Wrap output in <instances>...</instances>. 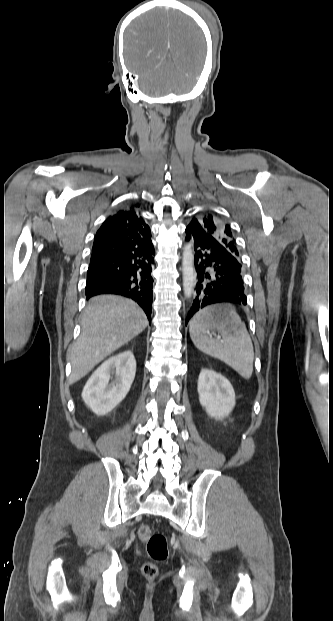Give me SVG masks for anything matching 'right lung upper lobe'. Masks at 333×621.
Listing matches in <instances>:
<instances>
[{
    "label": "right lung upper lobe",
    "instance_id": "obj_1",
    "mask_svg": "<svg viewBox=\"0 0 333 621\" xmlns=\"http://www.w3.org/2000/svg\"><path fill=\"white\" fill-rule=\"evenodd\" d=\"M137 208L139 205H131L109 216L97 231L92 249L113 247L133 251L150 247L151 231Z\"/></svg>",
    "mask_w": 333,
    "mask_h": 621
}]
</instances>
